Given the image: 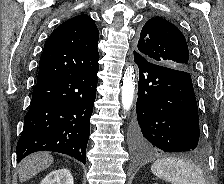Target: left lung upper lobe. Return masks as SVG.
Segmentation results:
<instances>
[{"instance_id": "obj_1", "label": "left lung upper lobe", "mask_w": 224, "mask_h": 184, "mask_svg": "<svg viewBox=\"0 0 224 184\" xmlns=\"http://www.w3.org/2000/svg\"><path fill=\"white\" fill-rule=\"evenodd\" d=\"M148 62L180 71L191 72L192 62L182 32L171 22L155 17L143 26L134 51Z\"/></svg>"}]
</instances>
